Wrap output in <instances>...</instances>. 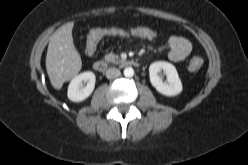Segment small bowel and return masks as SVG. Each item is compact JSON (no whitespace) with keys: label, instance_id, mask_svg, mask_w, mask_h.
<instances>
[{"label":"small bowel","instance_id":"c3829d8e","mask_svg":"<svg viewBox=\"0 0 248 165\" xmlns=\"http://www.w3.org/2000/svg\"><path fill=\"white\" fill-rule=\"evenodd\" d=\"M145 29L152 30L148 27H135L129 30H123L124 34L118 36H131L148 40L154 39L155 37L145 36L141 33ZM191 50L190 41L182 36H172L168 41V57L173 62L183 61L191 53Z\"/></svg>","mask_w":248,"mask_h":165}]
</instances>
